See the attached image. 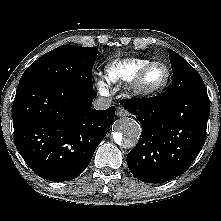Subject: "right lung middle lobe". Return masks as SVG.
I'll list each match as a JSON object with an SVG mask.
<instances>
[{"label": "right lung middle lobe", "instance_id": "1", "mask_svg": "<svg viewBox=\"0 0 221 221\" xmlns=\"http://www.w3.org/2000/svg\"><path fill=\"white\" fill-rule=\"evenodd\" d=\"M97 54L98 50L94 47H58L34 61L19 83L37 80L93 89L91 74Z\"/></svg>", "mask_w": 221, "mask_h": 221}]
</instances>
